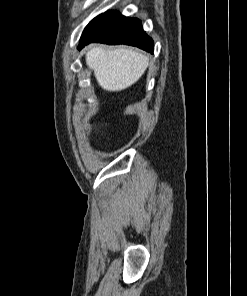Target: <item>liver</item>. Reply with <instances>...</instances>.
<instances>
[{"mask_svg":"<svg viewBox=\"0 0 247 296\" xmlns=\"http://www.w3.org/2000/svg\"><path fill=\"white\" fill-rule=\"evenodd\" d=\"M86 64L94 71L98 84L106 91H121L136 83L149 65L147 56L126 48L92 47Z\"/></svg>","mask_w":247,"mask_h":296,"instance_id":"1","label":"liver"}]
</instances>
